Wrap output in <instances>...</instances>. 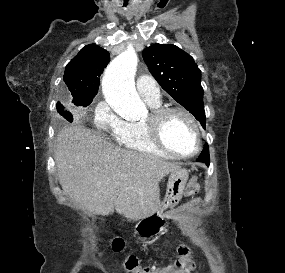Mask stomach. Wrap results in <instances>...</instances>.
<instances>
[{"mask_svg": "<svg viewBox=\"0 0 285 273\" xmlns=\"http://www.w3.org/2000/svg\"><path fill=\"white\" fill-rule=\"evenodd\" d=\"M189 172L184 168H178L170 172L166 193L164 200L161 203L160 209L154 214L143 220H141L136 229L142 236H154L162 230L161 225L159 228H155L157 223L163 222L164 218L162 213L167 208L175 207L182 198L186 182L188 180Z\"/></svg>", "mask_w": 285, "mask_h": 273, "instance_id": "0dacf381", "label": "stomach"}]
</instances>
